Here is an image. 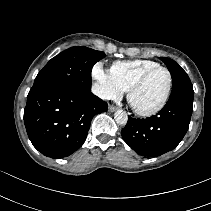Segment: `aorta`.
Segmentation results:
<instances>
[{"label":"aorta","mask_w":211,"mask_h":211,"mask_svg":"<svg viewBox=\"0 0 211 211\" xmlns=\"http://www.w3.org/2000/svg\"><path fill=\"white\" fill-rule=\"evenodd\" d=\"M114 119L117 124L125 125L127 123L128 116L125 111L117 110L114 114Z\"/></svg>","instance_id":"1"}]
</instances>
